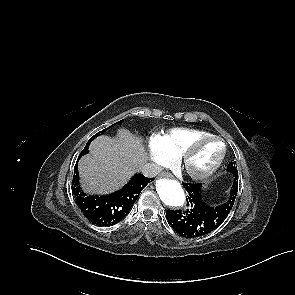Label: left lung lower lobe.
Listing matches in <instances>:
<instances>
[{"instance_id": "left-lung-lower-lobe-1", "label": "left lung lower lobe", "mask_w": 295, "mask_h": 295, "mask_svg": "<svg viewBox=\"0 0 295 295\" xmlns=\"http://www.w3.org/2000/svg\"><path fill=\"white\" fill-rule=\"evenodd\" d=\"M233 184L228 200L216 207H210L202 200V186L197 183H184L189 193L187 210H167L166 217L172 228L180 235L194 238L206 235L219 227L229 215L238 192V171L231 172Z\"/></svg>"}]
</instances>
